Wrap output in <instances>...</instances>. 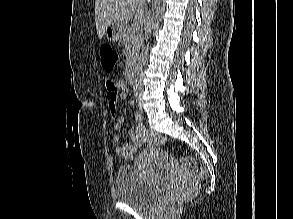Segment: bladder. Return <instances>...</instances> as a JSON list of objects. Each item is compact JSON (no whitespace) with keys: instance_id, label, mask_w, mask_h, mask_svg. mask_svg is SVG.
I'll use <instances>...</instances> for the list:
<instances>
[{"instance_id":"1","label":"bladder","mask_w":293,"mask_h":219,"mask_svg":"<svg viewBox=\"0 0 293 219\" xmlns=\"http://www.w3.org/2000/svg\"><path fill=\"white\" fill-rule=\"evenodd\" d=\"M166 191L167 185L165 183L148 181L130 166L120 168L116 175V199L132 208H149L161 201Z\"/></svg>"}]
</instances>
